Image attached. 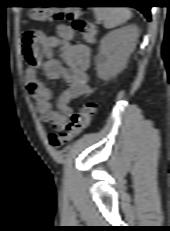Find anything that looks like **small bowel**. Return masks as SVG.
<instances>
[{"mask_svg": "<svg viewBox=\"0 0 170 231\" xmlns=\"http://www.w3.org/2000/svg\"><path fill=\"white\" fill-rule=\"evenodd\" d=\"M56 36H47L41 31H27L23 38L22 51L27 64V90L34 98L36 109L43 122L51 123L57 131L66 128L73 113L70 103L91 92L87 70L90 66V48L73 43L74 30L68 25H58ZM58 49L61 61L53 56ZM50 80H61L67 88L53 107L52 91L38 79V72Z\"/></svg>", "mask_w": 170, "mask_h": 231, "instance_id": "obj_1", "label": "small bowel"}]
</instances>
